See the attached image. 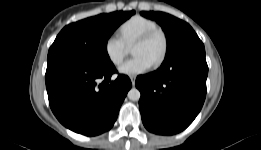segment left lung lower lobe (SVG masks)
Segmentation results:
<instances>
[{
  "label": "left lung lower lobe",
  "mask_w": 261,
  "mask_h": 150,
  "mask_svg": "<svg viewBox=\"0 0 261 150\" xmlns=\"http://www.w3.org/2000/svg\"><path fill=\"white\" fill-rule=\"evenodd\" d=\"M208 66L197 35L180 42L157 71L140 75L139 108L145 128L173 135L186 129L200 112L206 96Z\"/></svg>",
  "instance_id": "0a47b994"
}]
</instances>
